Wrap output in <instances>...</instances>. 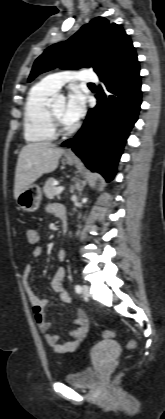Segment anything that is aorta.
I'll return each mask as SVG.
<instances>
[{
	"label": "aorta",
	"mask_w": 165,
	"mask_h": 419,
	"mask_svg": "<svg viewBox=\"0 0 165 419\" xmlns=\"http://www.w3.org/2000/svg\"><path fill=\"white\" fill-rule=\"evenodd\" d=\"M54 100H55L56 103H61L62 104V103L65 102V97L63 95H57V96H55Z\"/></svg>",
	"instance_id": "aorta-1"
}]
</instances>
